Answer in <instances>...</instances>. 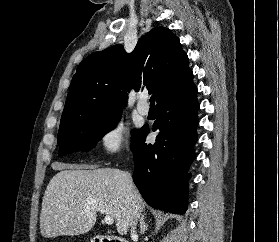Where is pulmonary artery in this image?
Listing matches in <instances>:
<instances>
[{"label":"pulmonary artery","mask_w":279,"mask_h":242,"mask_svg":"<svg viewBox=\"0 0 279 242\" xmlns=\"http://www.w3.org/2000/svg\"><path fill=\"white\" fill-rule=\"evenodd\" d=\"M145 100L146 98H141L137 105L138 112L143 116H146L149 113V107L145 104Z\"/></svg>","instance_id":"1"}]
</instances>
